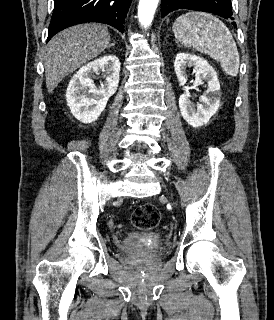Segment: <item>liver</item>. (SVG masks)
I'll return each instance as SVG.
<instances>
[{
	"instance_id": "obj_1",
	"label": "liver",
	"mask_w": 274,
	"mask_h": 320,
	"mask_svg": "<svg viewBox=\"0 0 274 320\" xmlns=\"http://www.w3.org/2000/svg\"><path fill=\"white\" fill-rule=\"evenodd\" d=\"M110 42L103 24H79L56 34L47 44L44 58L47 92L51 94L65 76L105 52Z\"/></svg>"
}]
</instances>
